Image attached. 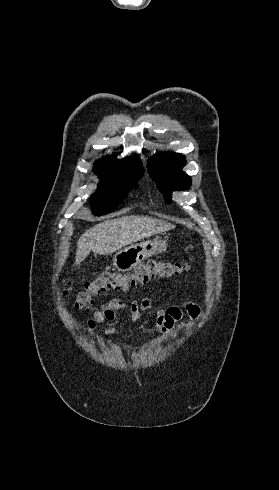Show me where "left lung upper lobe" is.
Returning a JSON list of instances; mask_svg holds the SVG:
<instances>
[{
	"label": "left lung upper lobe",
	"mask_w": 279,
	"mask_h": 490,
	"mask_svg": "<svg viewBox=\"0 0 279 490\" xmlns=\"http://www.w3.org/2000/svg\"><path fill=\"white\" fill-rule=\"evenodd\" d=\"M185 164L184 156L172 152H160L148 160L149 174L158 181V189L166 203L171 201L173 190H184L191 185L190 177L182 171Z\"/></svg>",
	"instance_id": "5c2ea615"
}]
</instances>
